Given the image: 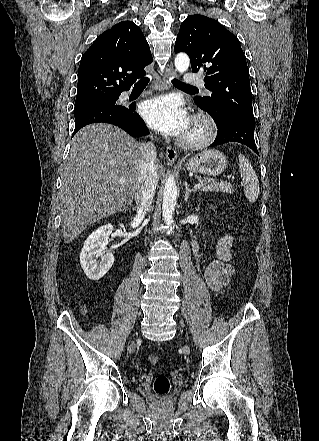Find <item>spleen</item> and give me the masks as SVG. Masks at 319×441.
<instances>
[{"mask_svg":"<svg viewBox=\"0 0 319 441\" xmlns=\"http://www.w3.org/2000/svg\"><path fill=\"white\" fill-rule=\"evenodd\" d=\"M239 171L245 185V196L249 202H256L259 195V181L250 161L239 154Z\"/></svg>","mask_w":319,"mask_h":441,"instance_id":"spleen-1","label":"spleen"}]
</instances>
